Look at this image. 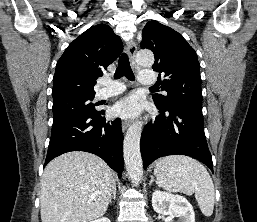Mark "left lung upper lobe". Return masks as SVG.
<instances>
[{"label":"left lung upper lobe","instance_id":"left-lung-upper-lobe-1","mask_svg":"<svg viewBox=\"0 0 257 222\" xmlns=\"http://www.w3.org/2000/svg\"><path fill=\"white\" fill-rule=\"evenodd\" d=\"M142 49L155 55L153 70L164 75L161 88L167 96L154 95L155 105L163 110L177 105L202 110L200 64L195 50L181 34L158 21H149L142 32Z\"/></svg>","mask_w":257,"mask_h":222}]
</instances>
